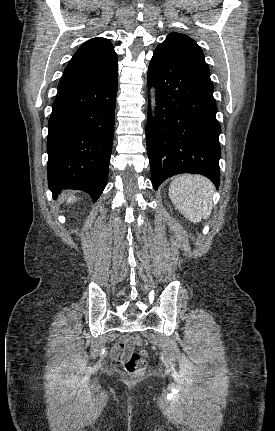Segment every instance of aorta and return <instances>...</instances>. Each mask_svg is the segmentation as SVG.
Segmentation results:
<instances>
[{
  "mask_svg": "<svg viewBox=\"0 0 275 431\" xmlns=\"http://www.w3.org/2000/svg\"><path fill=\"white\" fill-rule=\"evenodd\" d=\"M156 107V90L155 88H151V109H152V113L154 115V110Z\"/></svg>",
  "mask_w": 275,
  "mask_h": 431,
  "instance_id": "aorta-1",
  "label": "aorta"
}]
</instances>
